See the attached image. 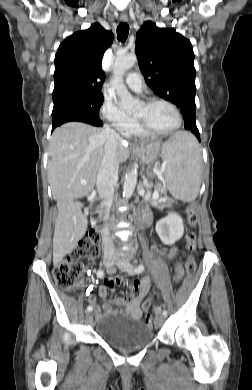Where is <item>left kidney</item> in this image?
<instances>
[{
    "mask_svg": "<svg viewBox=\"0 0 252 390\" xmlns=\"http://www.w3.org/2000/svg\"><path fill=\"white\" fill-rule=\"evenodd\" d=\"M155 228L161 241L166 245L174 244L181 239L184 233L183 220L174 212H170L165 218L160 219Z\"/></svg>",
    "mask_w": 252,
    "mask_h": 390,
    "instance_id": "1",
    "label": "left kidney"
}]
</instances>
